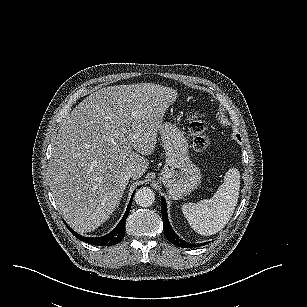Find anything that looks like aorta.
<instances>
[{"instance_id":"1","label":"aorta","mask_w":307,"mask_h":307,"mask_svg":"<svg viewBox=\"0 0 307 307\" xmlns=\"http://www.w3.org/2000/svg\"><path fill=\"white\" fill-rule=\"evenodd\" d=\"M134 199L137 205L141 207H148L154 202L155 195L150 188L142 187L136 191Z\"/></svg>"}]
</instances>
